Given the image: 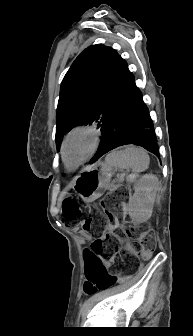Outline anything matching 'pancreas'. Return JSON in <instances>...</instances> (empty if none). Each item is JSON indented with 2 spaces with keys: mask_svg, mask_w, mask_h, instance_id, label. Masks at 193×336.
I'll list each match as a JSON object with an SVG mask.
<instances>
[{
  "mask_svg": "<svg viewBox=\"0 0 193 336\" xmlns=\"http://www.w3.org/2000/svg\"><path fill=\"white\" fill-rule=\"evenodd\" d=\"M124 180L123 176L119 177V182H122Z\"/></svg>",
  "mask_w": 193,
  "mask_h": 336,
  "instance_id": "1",
  "label": "pancreas"
}]
</instances>
